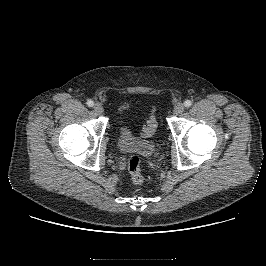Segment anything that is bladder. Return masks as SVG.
<instances>
[{
	"label": "bladder",
	"mask_w": 266,
	"mask_h": 266,
	"mask_svg": "<svg viewBox=\"0 0 266 266\" xmlns=\"http://www.w3.org/2000/svg\"><path fill=\"white\" fill-rule=\"evenodd\" d=\"M116 144L118 149L126 154L151 157L155 153V146L147 139H139L125 122L123 110L120 111L117 126Z\"/></svg>",
	"instance_id": "bladder-1"
}]
</instances>
